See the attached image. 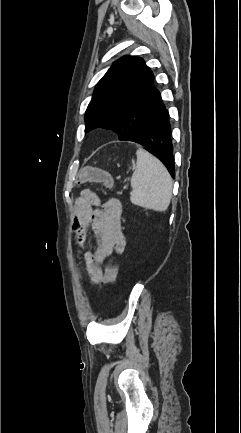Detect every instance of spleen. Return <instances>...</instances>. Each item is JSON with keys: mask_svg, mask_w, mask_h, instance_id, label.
<instances>
[{"mask_svg": "<svg viewBox=\"0 0 241 433\" xmlns=\"http://www.w3.org/2000/svg\"><path fill=\"white\" fill-rule=\"evenodd\" d=\"M136 169L131 178L130 201L137 206L164 212L172 197V178L165 166L144 149L136 151Z\"/></svg>", "mask_w": 241, "mask_h": 433, "instance_id": "1", "label": "spleen"}]
</instances>
